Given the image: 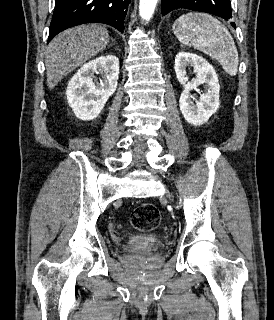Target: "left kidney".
<instances>
[{"instance_id":"obj_1","label":"left kidney","mask_w":274,"mask_h":320,"mask_svg":"<svg viewBox=\"0 0 274 320\" xmlns=\"http://www.w3.org/2000/svg\"><path fill=\"white\" fill-rule=\"evenodd\" d=\"M189 66H193L196 74L194 82H187L186 68ZM174 70L178 82L183 86V92L179 98L183 118L193 126L206 124L220 106V86L214 68L202 56L189 54V52H178L174 62ZM201 84H205V92L201 94L199 102H195L192 100L191 92L197 90Z\"/></svg>"}]
</instances>
